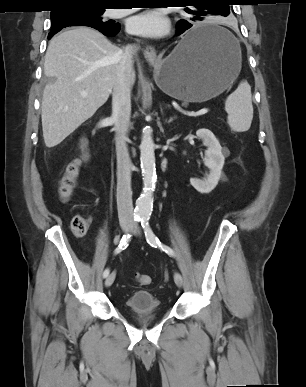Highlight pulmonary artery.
<instances>
[{
	"label": "pulmonary artery",
	"mask_w": 306,
	"mask_h": 387,
	"mask_svg": "<svg viewBox=\"0 0 306 387\" xmlns=\"http://www.w3.org/2000/svg\"><path fill=\"white\" fill-rule=\"evenodd\" d=\"M131 12H133V9H113L111 11H109V16L111 17H122V16H125L127 14H130Z\"/></svg>",
	"instance_id": "pulmonary-artery-1"
}]
</instances>
